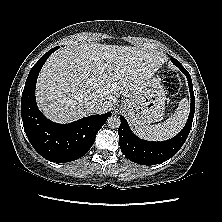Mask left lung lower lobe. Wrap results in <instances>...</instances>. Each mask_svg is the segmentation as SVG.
Segmentation results:
<instances>
[{"mask_svg":"<svg viewBox=\"0 0 222 222\" xmlns=\"http://www.w3.org/2000/svg\"><path fill=\"white\" fill-rule=\"evenodd\" d=\"M171 61L186 75L191 95L190 113L182 131L172 139L166 141H145L135 136L130 130L125 118L120 116L121 125L118 129V134L121 151L129 160L141 165L160 164L173 157L185 143L192 127L195 110V97L191 76L178 60L171 58Z\"/></svg>","mask_w":222,"mask_h":222,"instance_id":"obj_1","label":"left lung lower lobe"}]
</instances>
